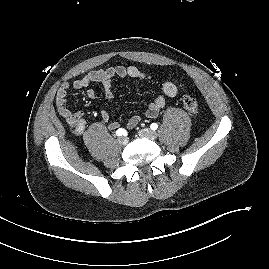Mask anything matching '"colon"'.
Segmentation results:
<instances>
[{
  "mask_svg": "<svg viewBox=\"0 0 269 269\" xmlns=\"http://www.w3.org/2000/svg\"><path fill=\"white\" fill-rule=\"evenodd\" d=\"M183 105L192 114H196L198 111L197 101L192 96H185L183 98Z\"/></svg>",
  "mask_w": 269,
  "mask_h": 269,
  "instance_id": "1",
  "label": "colon"
}]
</instances>
